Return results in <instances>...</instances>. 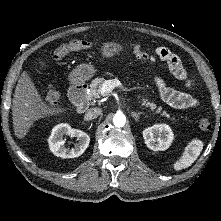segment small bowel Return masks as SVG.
<instances>
[{
    "mask_svg": "<svg viewBox=\"0 0 221 221\" xmlns=\"http://www.w3.org/2000/svg\"><path fill=\"white\" fill-rule=\"evenodd\" d=\"M155 57L166 61L175 78L183 82L188 89L193 87V80L188 76L176 54L165 47H158L155 51V55L151 57L150 60L154 61ZM154 80L158 87L161 99L168 105L178 109H187L198 105V100L191 94L168 87L160 78L156 77Z\"/></svg>",
    "mask_w": 221,
    "mask_h": 221,
    "instance_id": "obj_1",
    "label": "small bowel"
}]
</instances>
